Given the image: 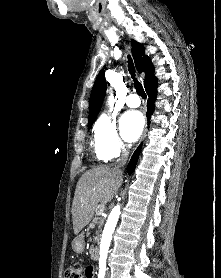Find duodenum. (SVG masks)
I'll return each instance as SVG.
<instances>
[{
	"label": "duodenum",
	"instance_id": "1",
	"mask_svg": "<svg viewBox=\"0 0 221 278\" xmlns=\"http://www.w3.org/2000/svg\"><path fill=\"white\" fill-rule=\"evenodd\" d=\"M91 257L95 261L98 260V258H99V251H98L97 247H92L91 248Z\"/></svg>",
	"mask_w": 221,
	"mask_h": 278
}]
</instances>
